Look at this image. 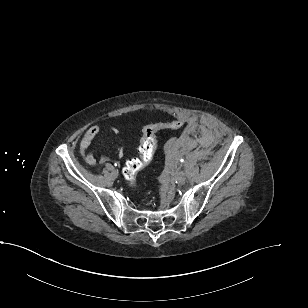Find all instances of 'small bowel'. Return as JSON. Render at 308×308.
Returning <instances> with one entry per match:
<instances>
[{"mask_svg":"<svg viewBox=\"0 0 308 308\" xmlns=\"http://www.w3.org/2000/svg\"><path fill=\"white\" fill-rule=\"evenodd\" d=\"M116 132V129H113ZM100 127L97 125L91 126L86 130L83 137L81 138L79 145V152L85 163L89 166H95L97 164L96 159L93 153L89 150L92 141L99 135ZM118 155L122 156L123 151L121 149L118 150ZM108 160L107 156H102L100 159V163H104Z\"/></svg>","mask_w":308,"mask_h":308,"instance_id":"obj_1","label":"small bowel"}]
</instances>
